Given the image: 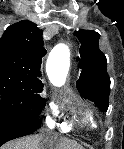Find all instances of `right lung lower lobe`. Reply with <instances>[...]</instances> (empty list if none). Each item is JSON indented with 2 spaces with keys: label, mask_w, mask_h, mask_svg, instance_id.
Wrapping results in <instances>:
<instances>
[{
  "label": "right lung lower lobe",
  "mask_w": 124,
  "mask_h": 149,
  "mask_svg": "<svg viewBox=\"0 0 124 149\" xmlns=\"http://www.w3.org/2000/svg\"><path fill=\"white\" fill-rule=\"evenodd\" d=\"M40 125L38 118L19 123H0V146L9 140L33 133Z\"/></svg>",
  "instance_id": "right-lung-lower-lobe-1"
}]
</instances>
